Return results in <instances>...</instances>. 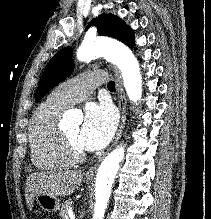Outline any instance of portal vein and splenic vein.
I'll list each match as a JSON object with an SVG mask.
<instances>
[{
  "mask_svg": "<svg viewBox=\"0 0 211 219\" xmlns=\"http://www.w3.org/2000/svg\"><path fill=\"white\" fill-rule=\"evenodd\" d=\"M68 218H69L68 216L65 217V219H68Z\"/></svg>",
  "mask_w": 211,
  "mask_h": 219,
  "instance_id": "1",
  "label": "portal vein and splenic vein"
}]
</instances>
